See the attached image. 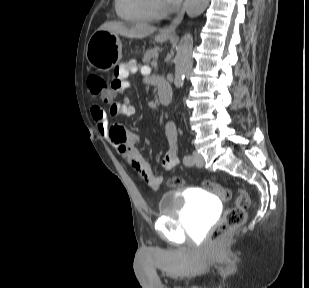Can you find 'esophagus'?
<instances>
[{
  "instance_id": "34e87169",
  "label": "esophagus",
  "mask_w": 309,
  "mask_h": 288,
  "mask_svg": "<svg viewBox=\"0 0 309 288\" xmlns=\"http://www.w3.org/2000/svg\"><path fill=\"white\" fill-rule=\"evenodd\" d=\"M185 10H186V6L185 4L183 5L181 11L177 14V16L171 21L170 24H168L167 26L163 27L161 29V34L163 35H173L175 33L176 28L178 27V25L181 23L184 14H185Z\"/></svg>"
}]
</instances>
